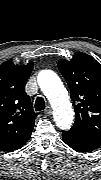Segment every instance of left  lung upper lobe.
I'll return each mask as SVG.
<instances>
[{
    "label": "left lung upper lobe",
    "instance_id": "left-lung-upper-lobe-1",
    "mask_svg": "<svg viewBox=\"0 0 101 180\" xmlns=\"http://www.w3.org/2000/svg\"><path fill=\"white\" fill-rule=\"evenodd\" d=\"M58 68L69 85L76 121L70 131L101 138V65L85 53L61 60Z\"/></svg>",
    "mask_w": 101,
    "mask_h": 180
}]
</instances>
